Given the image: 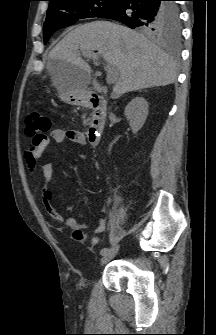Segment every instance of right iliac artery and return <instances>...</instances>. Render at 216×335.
<instances>
[{
  "label": "right iliac artery",
  "mask_w": 216,
  "mask_h": 335,
  "mask_svg": "<svg viewBox=\"0 0 216 335\" xmlns=\"http://www.w3.org/2000/svg\"><path fill=\"white\" fill-rule=\"evenodd\" d=\"M109 251V248H102L100 251L101 255H105Z\"/></svg>",
  "instance_id": "1"
}]
</instances>
